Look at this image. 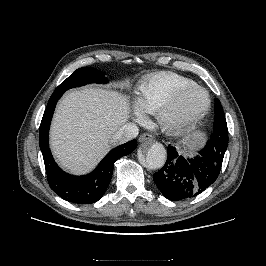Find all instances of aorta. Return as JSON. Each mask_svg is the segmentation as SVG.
<instances>
[{
  "label": "aorta",
  "mask_w": 266,
  "mask_h": 266,
  "mask_svg": "<svg viewBox=\"0 0 266 266\" xmlns=\"http://www.w3.org/2000/svg\"><path fill=\"white\" fill-rule=\"evenodd\" d=\"M166 149L161 143H153L145 152V163L150 169H159L166 161Z\"/></svg>",
  "instance_id": "aorta-1"
}]
</instances>
